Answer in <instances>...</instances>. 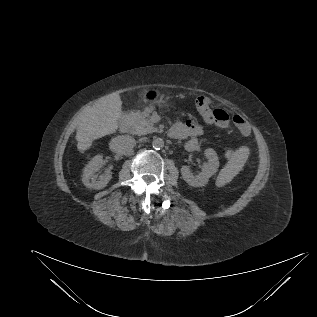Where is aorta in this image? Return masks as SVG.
I'll list each match as a JSON object with an SVG mask.
<instances>
[{"label":"aorta","instance_id":"762f6f07","mask_svg":"<svg viewBox=\"0 0 317 317\" xmlns=\"http://www.w3.org/2000/svg\"><path fill=\"white\" fill-rule=\"evenodd\" d=\"M152 146L156 150H160L164 147V141L162 138H155L152 141Z\"/></svg>","mask_w":317,"mask_h":317}]
</instances>
